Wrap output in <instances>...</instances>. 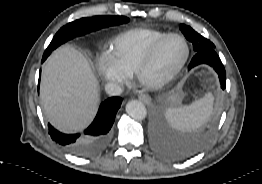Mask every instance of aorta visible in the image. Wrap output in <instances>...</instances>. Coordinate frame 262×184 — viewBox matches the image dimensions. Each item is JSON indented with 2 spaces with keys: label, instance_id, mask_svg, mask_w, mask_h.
<instances>
[{
  "label": "aorta",
  "instance_id": "aorta-1",
  "mask_svg": "<svg viewBox=\"0 0 262 184\" xmlns=\"http://www.w3.org/2000/svg\"><path fill=\"white\" fill-rule=\"evenodd\" d=\"M127 114L135 120H143L147 116L145 105L138 100H131L126 104Z\"/></svg>",
  "mask_w": 262,
  "mask_h": 184
}]
</instances>
